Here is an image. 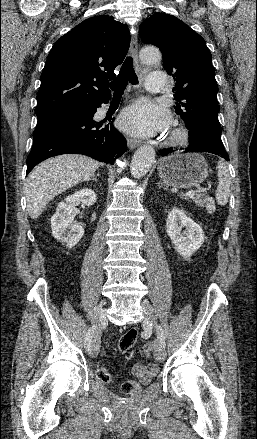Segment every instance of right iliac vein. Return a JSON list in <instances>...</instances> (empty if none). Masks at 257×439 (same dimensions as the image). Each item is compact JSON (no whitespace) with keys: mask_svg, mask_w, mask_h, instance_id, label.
I'll use <instances>...</instances> for the list:
<instances>
[{"mask_svg":"<svg viewBox=\"0 0 257 439\" xmlns=\"http://www.w3.org/2000/svg\"><path fill=\"white\" fill-rule=\"evenodd\" d=\"M105 317H106V311L101 306L95 311L92 317L93 325L98 327L105 320ZM99 346H100V332L99 330H97L93 337L91 348L89 351L90 357H95L97 355Z\"/></svg>","mask_w":257,"mask_h":439,"instance_id":"obj_1","label":"right iliac vein"}]
</instances>
